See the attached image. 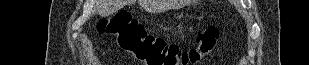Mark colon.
I'll list each match as a JSON object with an SVG mask.
<instances>
[{
    "label": "colon",
    "mask_w": 309,
    "mask_h": 65,
    "mask_svg": "<svg viewBox=\"0 0 309 65\" xmlns=\"http://www.w3.org/2000/svg\"><path fill=\"white\" fill-rule=\"evenodd\" d=\"M98 31L114 38L121 50L145 65L197 64L215 49L219 38V30L210 26L198 34L195 47L182 49L163 38L148 34L127 11L102 19Z\"/></svg>",
    "instance_id": "colon-1"
}]
</instances>
